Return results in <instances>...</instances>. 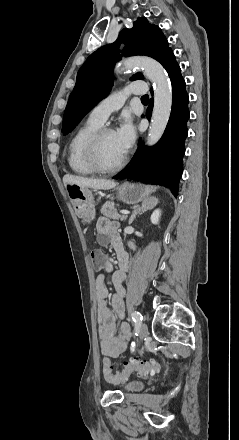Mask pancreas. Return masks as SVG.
<instances>
[{
    "label": "pancreas",
    "mask_w": 239,
    "mask_h": 440,
    "mask_svg": "<svg viewBox=\"0 0 239 440\" xmlns=\"http://www.w3.org/2000/svg\"><path fill=\"white\" fill-rule=\"evenodd\" d=\"M101 214L106 216V218H112V220H126V216H120V214H117L114 202H105L101 208Z\"/></svg>",
    "instance_id": "obj_1"
}]
</instances>
